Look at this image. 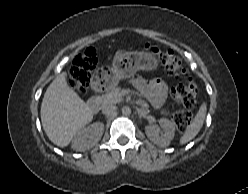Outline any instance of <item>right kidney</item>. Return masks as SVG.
<instances>
[{"label":"right kidney","instance_id":"ca27d5eb","mask_svg":"<svg viewBox=\"0 0 248 194\" xmlns=\"http://www.w3.org/2000/svg\"><path fill=\"white\" fill-rule=\"evenodd\" d=\"M103 132L104 124L101 122L81 128L72 141L73 150L82 152L92 148L101 139Z\"/></svg>","mask_w":248,"mask_h":194}]
</instances>
